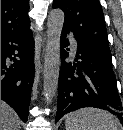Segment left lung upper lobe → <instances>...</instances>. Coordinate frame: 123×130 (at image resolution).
<instances>
[{"instance_id":"obj_1","label":"left lung upper lobe","mask_w":123,"mask_h":130,"mask_svg":"<svg viewBox=\"0 0 123 130\" xmlns=\"http://www.w3.org/2000/svg\"><path fill=\"white\" fill-rule=\"evenodd\" d=\"M53 8L64 11L63 29L91 47L110 52L104 14L98 0H54Z\"/></svg>"}]
</instances>
